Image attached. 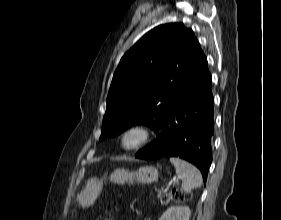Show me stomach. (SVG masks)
I'll use <instances>...</instances> for the list:
<instances>
[{
    "mask_svg": "<svg viewBox=\"0 0 281 220\" xmlns=\"http://www.w3.org/2000/svg\"><path fill=\"white\" fill-rule=\"evenodd\" d=\"M158 170L153 166L140 167L136 171L126 169H116L110 174V181L116 184H125L137 181L147 184L158 180ZM103 187V180L90 179L87 181L85 188L78 194L77 201L80 206L89 207L92 205Z\"/></svg>",
    "mask_w": 281,
    "mask_h": 220,
    "instance_id": "0dacf381",
    "label": "stomach"
}]
</instances>
